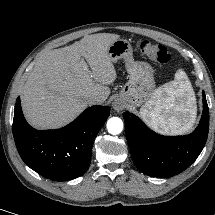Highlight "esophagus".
Instances as JSON below:
<instances>
[{"label": "esophagus", "mask_w": 215, "mask_h": 215, "mask_svg": "<svg viewBox=\"0 0 215 215\" xmlns=\"http://www.w3.org/2000/svg\"><path fill=\"white\" fill-rule=\"evenodd\" d=\"M112 106L116 111L119 112V111L123 110V108L125 107V104L121 99L117 98L114 100Z\"/></svg>", "instance_id": "obj_1"}]
</instances>
